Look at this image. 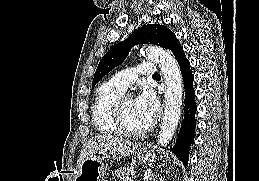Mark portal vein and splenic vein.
<instances>
[{"mask_svg": "<svg viewBox=\"0 0 259 181\" xmlns=\"http://www.w3.org/2000/svg\"><path fill=\"white\" fill-rule=\"evenodd\" d=\"M123 181H132V180H131V178L126 177V178H123Z\"/></svg>", "mask_w": 259, "mask_h": 181, "instance_id": "18ae733b", "label": "portal vein and splenic vein"}]
</instances>
